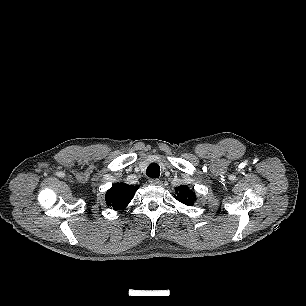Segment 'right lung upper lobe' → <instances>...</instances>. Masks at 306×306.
I'll list each match as a JSON object with an SVG mask.
<instances>
[{
    "label": "right lung upper lobe",
    "instance_id": "obj_1",
    "mask_svg": "<svg viewBox=\"0 0 306 306\" xmlns=\"http://www.w3.org/2000/svg\"><path fill=\"white\" fill-rule=\"evenodd\" d=\"M139 186H131L125 183L113 185L106 193V203L114 210L125 208L134 197Z\"/></svg>",
    "mask_w": 306,
    "mask_h": 306
}]
</instances>
